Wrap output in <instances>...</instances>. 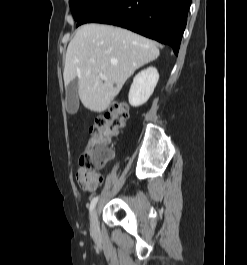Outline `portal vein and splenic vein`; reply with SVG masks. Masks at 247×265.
Wrapping results in <instances>:
<instances>
[{"label": "portal vein and splenic vein", "instance_id": "1", "mask_svg": "<svg viewBox=\"0 0 247 265\" xmlns=\"http://www.w3.org/2000/svg\"><path fill=\"white\" fill-rule=\"evenodd\" d=\"M99 76H100L101 79L107 80V77L104 74L100 73Z\"/></svg>", "mask_w": 247, "mask_h": 265}]
</instances>
